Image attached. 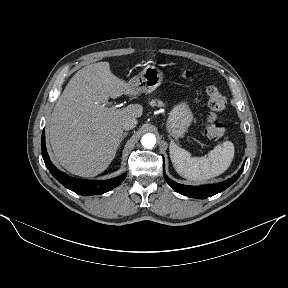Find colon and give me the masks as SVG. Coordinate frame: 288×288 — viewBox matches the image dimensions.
Segmentation results:
<instances>
[{
	"mask_svg": "<svg viewBox=\"0 0 288 288\" xmlns=\"http://www.w3.org/2000/svg\"><path fill=\"white\" fill-rule=\"evenodd\" d=\"M183 77L186 79H191L193 77V73L190 70H185L183 72ZM206 94L208 113L204 128L205 135L210 140H219L225 134V126L221 121H219L218 113L225 109L226 98L215 87H209Z\"/></svg>",
	"mask_w": 288,
	"mask_h": 288,
	"instance_id": "1",
	"label": "colon"
}]
</instances>
